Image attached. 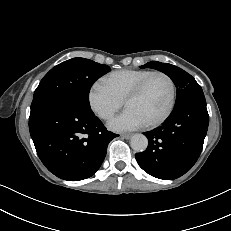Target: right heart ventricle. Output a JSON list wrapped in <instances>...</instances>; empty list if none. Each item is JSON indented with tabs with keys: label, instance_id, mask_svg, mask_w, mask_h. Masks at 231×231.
I'll return each mask as SVG.
<instances>
[{
	"label": "right heart ventricle",
	"instance_id": "e07e8e85",
	"mask_svg": "<svg viewBox=\"0 0 231 231\" xmlns=\"http://www.w3.org/2000/svg\"><path fill=\"white\" fill-rule=\"evenodd\" d=\"M152 72L154 71L147 69L114 71L107 75L103 82L118 98L124 101L129 93Z\"/></svg>",
	"mask_w": 231,
	"mask_h": 231
}]
</instances>
